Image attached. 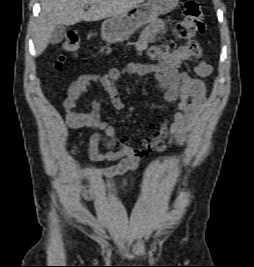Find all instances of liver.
<instances>
[{
	"label": "liver",
	"mask_w": 254,
	"mask_h": 267,
	"mask_svg": "<svg viewBox=\"0 0 254 267\" xmlns=\"http://www.w3.org/2000/svg\"><path fill=\"white\" fill-rule=\"evenodd\" d=\"M144 0H41V12L34 33L36 55L47 48L54 29L59 25L93 22L123 14ZM90 8L85 12V6Z\"/></svg>",
	"instance_id": "liver-1"
}]
</instances>
